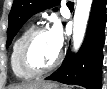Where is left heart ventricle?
I'll use <instances>...</instances> for the list:
<instances>
[{
  "instance_id": "1",
  "label": "left heart ventricle",
  "mask_w": 107,
  "mask_h": 89,
  "mask_svg": "<svg viewBox=\"0 0 107 89\" xmlns=\"http://www.w3.org/2000/svg\"><path fill=\"white\" fill-rule=\"evenodd\" d=\"M59 50L54 45L49 32L40 34L31 50V60L39 66H48L54 62Z\"/></svg>"
}]
</instances>
